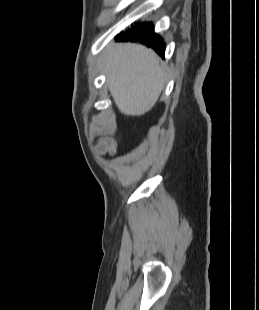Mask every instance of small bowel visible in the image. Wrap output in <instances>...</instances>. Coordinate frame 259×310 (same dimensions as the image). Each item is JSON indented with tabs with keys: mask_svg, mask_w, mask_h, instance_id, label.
<instances>
[{
	"mask_svg": "<svg viewBox=\"0 0 259 310\" xmlns=\"http://www.w3.org/2000/svg\"><path fill=\"white\" fill-rule=\"evenodd\" d=\"M115 150V144L108 140V139H100L97 147H96V153L99 155L106 154L108 152H113Z\"/></svg>",
	"mask_w": 259,
	"mask_h": 310,
	"instance_id": "small-bowel-1",
	"label": "small bowel"
}]
</instances>
